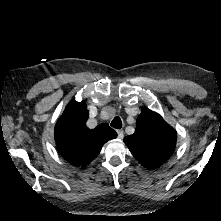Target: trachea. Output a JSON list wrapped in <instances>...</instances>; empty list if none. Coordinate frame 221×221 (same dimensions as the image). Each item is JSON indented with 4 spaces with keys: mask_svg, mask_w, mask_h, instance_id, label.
<instances>
[{
    "mask_svg": "<svg viewBox=\"0 0 221 221\" xmlns=\"http://www.w3.org/2000/svg\"><path fill=\"white\" fill-rule=\"evenodd\" d=\"M113 128H116V129H120L122 127V121L120 119V117H115L111 124H110Z\"/></svg>",
    "mask_w": 221,
    "mask_h": 221,
    "instance_id": "obj_1",
    "label": "trachea"
}]
</instances>
